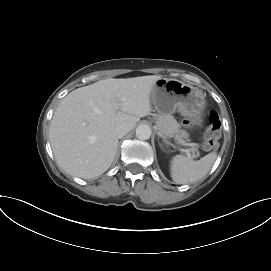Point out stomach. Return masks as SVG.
Masks as SVG:
<instances>
[{
  "label": "stomach",
  "instance_id": "1",
  "mask_svg": "<svg viewBox=\"0 0 271 271\" xmlns=\"http://www.w3.org/2000/svg\"><path fill=\"white\" fill-rule=\"evenodd\" d=\"M150 98L155 109L162 114L178 111L192 124L202 123L206 100L203 91L197 87L177 79L160 78L153 85ZM176 139L181 144L189 141L188 138Z\"/></svg>",
  "mask_w": 271,
  "mask_h": 271
}]
</instances>
